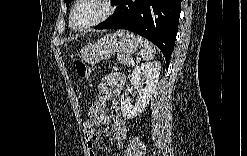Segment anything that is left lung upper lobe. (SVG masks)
I'll return each instance as SVG.
<instances>
[{
    "mask_svg": "<svg viewBox=\"0 0 247 156\" xmlns=\"http://www.w3.org/2000/svg\"><path fill=\"white\" fill-rule=\"evenodd\" d=\"M119 0H116L115 2H116V4H117V2H118ZM65 2H66V5H68L69 4V2H70V0H65Z\"/></svg>",
    "mask_w": 247,
    "mask_h": 156,
    "instance_id": "obj_1",
    "label": "left lung upper lobe"
}]
</instances>
